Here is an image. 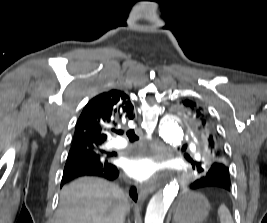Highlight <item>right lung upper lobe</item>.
<instances>
[{
    "mask_svg": "<svg viewBox=\"0 0 267 223\" xmlns=\"http://www.w3.org/2000/svg\"><path fill=\"white\" fill-rule=\"evenodd\" d=\"M133 105L121 90H110L91 99L83 109L72 141V149L94 145L101 147L116 127L133 120Z\"/></svg>",
    "mask_w": 267,
    "mask_h": 223,
    "instance_id": "obj_1",
    "label": "right lung upper lobe"
}]
</instances>
